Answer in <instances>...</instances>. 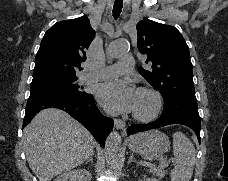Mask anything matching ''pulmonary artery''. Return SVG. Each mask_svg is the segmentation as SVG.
<instances>
[{"label": "pulmonary artery", "mask_w": 228, "mask_h": 181, "mask_svg": "<svg viewBox=\"0 0 228 181\" xmlns=\"http://www.w3.org/2000/svg\"><path fill=\"white\" fill-rule=\"evenodd\" d=\"M132 60V57L120 58L121 65L107 66L101 71V74H91V79H112V74L122 69L123 71H135Z\"/></svg>", "instance_id": "pulmonary-artery-1"}]
</instances>
